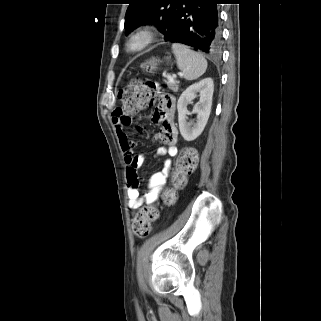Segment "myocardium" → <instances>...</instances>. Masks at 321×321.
I'll use <instances>...</instances> for the list:
<instances>
[{"instance_id":"f54148a6","label":"myocardium","mask_w":321,"mask_h":321,"mask_svg":"<svg viewBox=\"0 0 321 321\" xmlns=\"http://www.w3.org/2000/svg\"><path fill=\"white\" fill-rule=\"evenodd\" d=\"M154 40V30L149 26H143L130 33L126 40V49L129 53L136 54L150 46Z\"/></svg>"}]
</instances>
